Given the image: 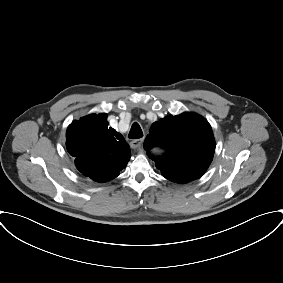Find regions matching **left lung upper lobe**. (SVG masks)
<instances>
[{
  "instance_id": "5c2ea615",
  "label": "left lung upper lobe",
  "mask_w": 283,
  "mask_h": 283,
  "mask_svg": "<svg viewBox=\"0 0 283 283\" xmlns=\"http://www.w3.org/2000/svg\"><path fill=\"white\" fill-rule=\"evenodd\" d=\"M161 146L165 154L153 157L162 175L176 183L201 177L212 161L215 140L210 124L201 116L183 113L154 122L144 148Z\"/></svg>"
}]
</instances>
